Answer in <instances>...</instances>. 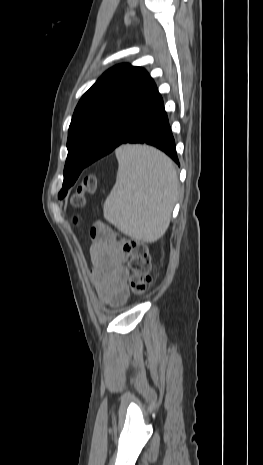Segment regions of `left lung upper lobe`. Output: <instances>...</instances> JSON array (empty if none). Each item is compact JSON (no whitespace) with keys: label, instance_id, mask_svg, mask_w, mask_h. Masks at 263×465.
Returning a JSON list of instances; mask_svg holds the SVG:
<instances>
[{"label":"left lung upper lobe","instance_id":"left-lung-upper-lobe-1","mask_svg":"<svg viewBox=\"0 0 263 465\" xmlns=\"http://www.w3.org/2000/svg\"><path fill=\"white\" fill-rule=\"evenodd\" d=\"M148 75L141 67L120 64L106 71L82 96L74 111L67 140V159L78 161V165L64 175L58 194L60 199L86 167V161L117 112L135 98Z\"/></svg>","mask_w":263,"mask_h":465}]
</instances>
